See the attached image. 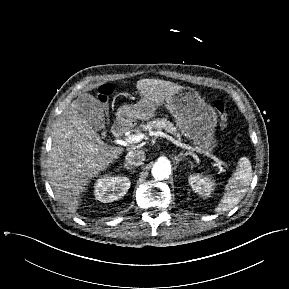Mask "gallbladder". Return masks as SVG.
Segmentation results:
<instances>
[{
    "mask_svg": "<svg viewBox=\"0 0 289 289\" xmlns=\"http://www.w3.org/2000/svg\"><path fill=\"white\" fill-rule=\"evenodd\" d=\"M79 112L88 124L96 131L103 130L105 137L104 111L101 104L90 94H83L78 98ZM103 137V138H104Z\"/></svg>",
    "mask_w": 289,
    "mask_h": 289,
    "instance_id": "gallbladder-1",
    "label": "gallbladder"
}]
</instances>
